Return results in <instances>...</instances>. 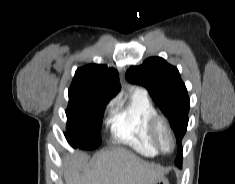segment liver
<instances>
[{
  "label": "liver",
  "mask_w": 235,
  "mask_h": 184,
  "mask_svg": "<svg viewBox=\"0 0 235 184\" xmlns=\"http://www.w3.org/2000/svg\"><path fill=\"white\" fill-rule=\"evenodd\" d=\"M83 160L84 156H75L73 160H66V164L69 170H75ZM69 170L65 174L66 184H154L165 172L160 164L143 162L124 148L102 152L93 170L84 176Z\"/></svg>",
  "instance_id": "obj_1"
}]
</instances>
